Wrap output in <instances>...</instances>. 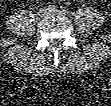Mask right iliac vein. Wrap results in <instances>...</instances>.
Segmentation results:
<instances>
[{"mask_svg": "<svg viewBox=\"0 0 111 106\" xmlns=\"http://www.w3.org/2000/svg\"><path fill=\"white\" fill-rule=\"evenodd\" d=\"M47 13H48V10H47L46 8H42V9H40L39 12H38V14H39L40 16H43V15H45V14H47Z\"/></svg>", "mask_w": 111, "mask_h": 106, "instance_id": "1", "label": "right iliac vein"}]
</instances>
